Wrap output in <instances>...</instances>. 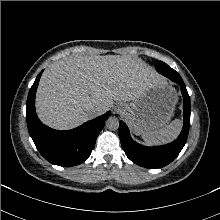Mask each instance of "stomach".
Instances as JSON below:
<instances>
[{
	"label": "stomach",
	"instance_id": "0dacf381",
	"mask_svg": "<svg viewBox=\"0 0 220 220\" xmlns=\"http://www.w3.org/2000/svg\"><path fill=\"white\" fill-rule=\"evenodd\" d=\"M177 99L176 90L162 79L136 100L124 104L122 114L135 134H143L169 122Z\"/></svg>",
	"mask_w": 220,
	"mask_h": 220
}]
</instances>
